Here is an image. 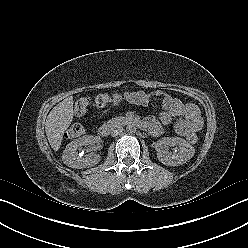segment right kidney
Wrapping results in <instances>:
<instances>
[{"label":"right kidney","mask_w":248,"mask_h":248,"mask_svg":"<svg viewBox=\"0 0 248 248\" xmlns=\"http://www.w3.org/2000/svg\"><path fill=\"white\" fill-rule=\"evenodd\" d=\"M93 142V136L91 135L83 136L73 140L63 151L62 160L67 166L77 169L96 165L101 160L99 154L90 153L84 157H81L78 153V149H80L82 146L92 145Z\"/></svg>","instance_id":"obj_1"}]
</instances>
